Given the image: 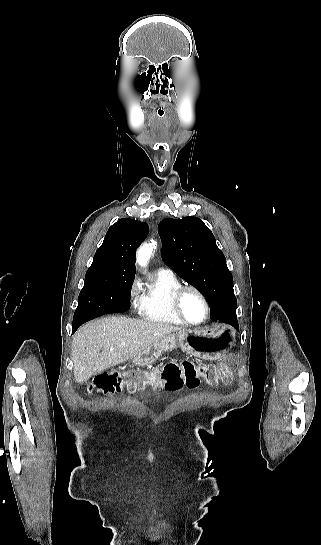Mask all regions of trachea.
Returning <instances> with one entry per match:
<instances>
[{
  "instance_id": "obj_1",
  "label": "trachea",
  "mask_w": 321,
  "mask_h": 545,
  "mask_svg": "<svg viewBox=\"0 0 321 545\" xmlns=\"http://www.w3.org/2000/svg\"><path fill=\"white\" fill-rule=\"evenodd\" d=\"M155 110H156L158 116H163L164 115V110L161 109V107L158 106V107H156Z\"/></svg>"
}]
</instances>
